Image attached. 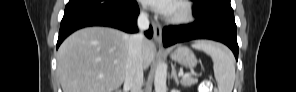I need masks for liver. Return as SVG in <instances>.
<instances>
[{"label":"liver","instance_id":"1","mask_svg":"<svg viewBox=\"0 0 296 92\" xmlns=\"http://www.w3.org/2000/svg\"><path fill=\"white\" fill-rule=\"evenodd\" d=\"M129 38L108 27H88L70 35L57 54L63 92H116L126 76ZM155 51V44L144 39V69L152 63Z\"/></svg>","mask_w":296,"mask_h":92}]
</instances>
